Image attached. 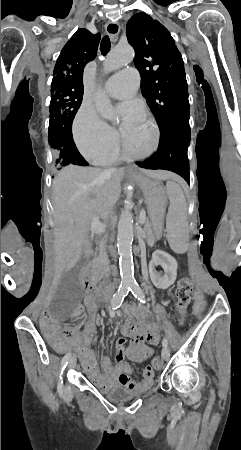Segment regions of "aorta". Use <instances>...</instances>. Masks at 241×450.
<instances>
[{
  "instance_id": "1",
  "label": "aorta",
  "mask_w": 241,
  "mask_h": 450,
  "mask_svg": "<svg viewBox=\"0 0 241 450\" xmlns=\"http://www.w3.org/2000/svg\"><path fill=\"white\" fill-rule=\"evenodd\" d=\"M134 56L135 53L131 46L118 45L108 54L104 63V70L106 72L117 70L131 62ZM94 102L103 118L113 119V106L105 92L99 91L95 96ZM131 209L132 202L126 201L118 222L117 248L121 280L125 286H133L135 284L132 256V242L134 238L133 215Z\"/></svg>"
}]
</instances>
